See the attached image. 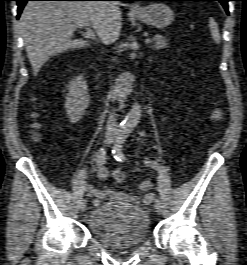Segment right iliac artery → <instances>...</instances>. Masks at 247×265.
<instances>
[{"label":"right iliac artery","instance_id":"82829eb1","mask_svg":"<svg viewBox=\"0 0 247 265\" xmlns=\"http://www.w3.org/2000/svg\"><path fill=\"white\" fill-rule=\"evenodd\" d=\"M116 136H119V133L118 132H115L114 133ZM105 160H106V152H105V149L104 148H100L97 153H96V156H95V161L98 165H103L105 163ZM100 201L98 199H94L93 200V205L94 206H97L99 205Z\"/></svg>","mask_w":247,"mask_h":265}]
</instances>
